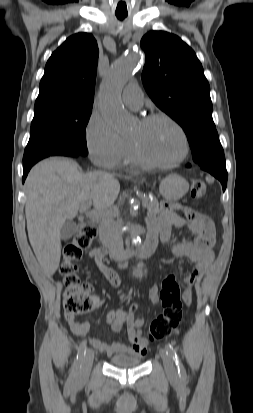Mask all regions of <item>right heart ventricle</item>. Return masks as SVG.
<instances>
[{
  "label": "right heart ventricle",
  "mask_w": 253,
  "mask_h": 413,
  "mask_svg": "<svg viewBox=\"0 0 253 413\" xmlns=\"http://www.w3.org/2000/svg\"><path fill=\"white\" fill-rule=\"evenodd\" d=\"M124 164H131V165H137L139 164V160L134 154V151L132 149V146L130 142H127V148L125 150V153L123 155V158L121 160Z\"/></svg>",
  "instance_id": "e07e8e85"
}]
</instances>
